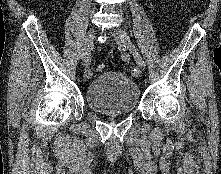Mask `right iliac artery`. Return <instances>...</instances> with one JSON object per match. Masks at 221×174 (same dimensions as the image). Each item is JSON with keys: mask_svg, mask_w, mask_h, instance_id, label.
I'll return each mask as SVG.
<instances>
[{"mask_svg": "<svg viewBox=\"0 0 221 174\" xmlns=\"http://www.w3.org/2000/svg\"><path fill=\"white\" fill-rule=\"evenodd\" d=\"M91 64V54L89 53L86 59L84 60L85 72L84 76L86 79H90L93 76L92 68L90 67Z\"/></svg>", "mask_w": 221, "mask_h": 174, "instance_id": "obj_1", "label": "right iliac artery"}]
</instances>
